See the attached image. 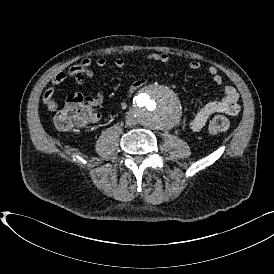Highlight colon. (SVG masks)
Listing matches in <instances>:
<instances>
[{"instance_id": "colon-1", "label": "colon", "mask_w": 274, "mask_h": 274, "mask_svg": "<svg viewBox=\"0 0 274 274\" xmlns=\"http://www.w3.org/2000/svg\"><path fill=\"white\" fill-rule=\"evenodd\" d=\"M67 102V105L54 118V125L58 129L68 131L74 124H88L94 120V111L85 98L72 94ZM229 126V119L223 115H214L209 120V132L214 135L225 134Z\"/></svg>"}]
</instances>
